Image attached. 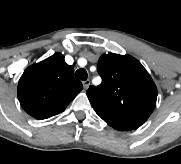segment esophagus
<instances>
[{
	"instance_id": "obj_1",
	"label": "esophagus",
	"mask_w": 181,
	"mask_h": 164,
	"mask_svg": "<svg viewBox=\"0 0 181 164\" xmlns=\"http://www.w3.org/2000/svg\"><path fill=\"white\" fill-rule=\"evenodd\" d=\"M89 86H90V80H85V81H83V87H84L85 89H88Z\"/></svg>"
}]
</instances>
